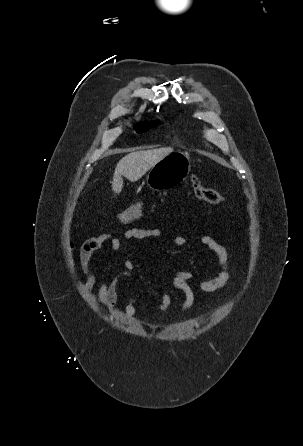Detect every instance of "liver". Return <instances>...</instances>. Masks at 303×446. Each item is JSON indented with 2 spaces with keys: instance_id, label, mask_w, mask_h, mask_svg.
I'll return each mask as SVG.
<instances>
[{
  "instance_id": "liver-1",
  "label": "liver",
  "mask_w": 303,
  "mask_h": 446,
  "mask_svg": "<svg viewBox=\"0 0 303 446\" xmlns=\"http://www.w3.org/2000/svg\"><path fill=\"white\" fill-rule=\"evenodd\" d=\"M173 152L171 147L146 151H133L117 164L112 180V190L119 194L123 187L122 176L131 182L140 179L156 163Z\"/></svg>"
}]
</instances>
